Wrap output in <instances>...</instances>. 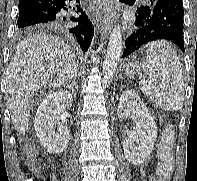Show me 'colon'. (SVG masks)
Segmentation results:
<instances>
[{
	"label": "colon",
	"mask_w": 197,
	"mask_h": 181,
	"mask_svg": "<svg viewBox=\"0 0 197 181\" xmlns=\"http://www.w3.org/2000/svg\"><path fill=\"white\" fill-rule=\"evenodd\" d=\"M173 142L174 130L172 127H166L163 131L162 141L158 150L159 163L157 166V174L153 181H168L171 178L173 170ZM29 165L32 169H36V160L32 158Z\"/></svg>",
	"instance_id": "5ec220e1"
}]
</instances>
